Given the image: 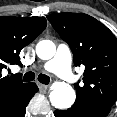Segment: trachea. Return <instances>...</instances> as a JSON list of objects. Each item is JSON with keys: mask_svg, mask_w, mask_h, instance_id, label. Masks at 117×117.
Here are the masks:
<instances>
[{"mask_svg": "<svg viewBox=\"0 0 117 117\" xmlns=\"http://www.w3.org/2000/svg\"><path fill=\"white\" fill-rule=\"evenodd\" d=\"M34 78H35V74L33 72L29 71V72L25 73L23 79H24V82H30V81H33ZM38 81L47 85L50 83V78H49V76H47L45 74H40L38 76Z\"/></svg>", "mask_w": 117, "mask_h": 117, "instance_id": "1", "label": "trachea"}]
</instances>
